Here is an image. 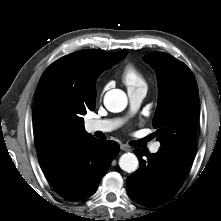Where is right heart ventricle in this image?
<instances>
[{"label": "right heart ventricle", "instance_id": "obj_1", "mask_svg": "<svg viewBox=\"0 0 221 221\" xmlns=\"http://www.w3.org/2000/svg\"><path fill=\"white\" fill-rule=\"evenodd\" d=\"M121 77L128 89L146 88L147 86L144 76L135 65H126Z\"/></svg>", "mask_w": 221, "mask_h": 221}]
</instances>
